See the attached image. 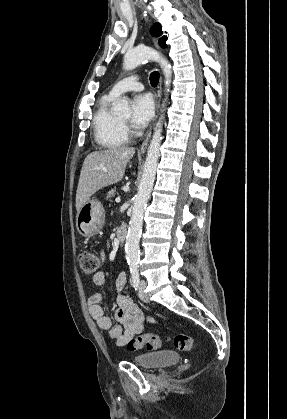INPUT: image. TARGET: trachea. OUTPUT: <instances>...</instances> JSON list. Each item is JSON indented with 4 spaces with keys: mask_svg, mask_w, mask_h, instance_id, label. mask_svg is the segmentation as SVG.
I'll return each mask as SVG.
<instances>
[{
    "mask_svg": "<svg viewBox=\"0 0 287 419\" xmlns=\"http://www.w3.org/2000/svg\"><path fill=\"white\" fill-rule=\"evenodd\" d=\"M159 82V73L157 71L150 74V83L152 86H157Z\"/></svg>",
    "mask_w": 287,
    "mask_h": 419,
    "instance_id": "trachea-1",
    "label": "trachea"
}]
</instances>
